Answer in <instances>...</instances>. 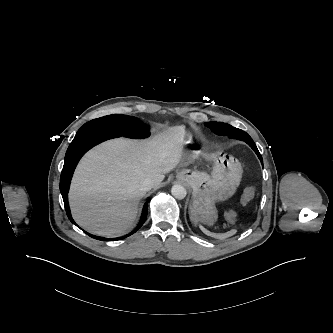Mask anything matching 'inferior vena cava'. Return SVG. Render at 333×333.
<instances>
[{
  "label": "inferior vena cava",
  "instance_id": "inferior-vena-cava-1",
  "mask_svg": "<svg viewBox=\"0 0 333 333\" xmlns=\"http://www.w3.org/2000/svg\"><path fill=\"white\" fill-rule=\"evenodd\" d=\"M152 187H153V182L149 178H145V179L141 180L138 184V188L142 192H147V191L151 190Z\"/></svg>",
  "mask_w": 333,
  "mask_h": 333
}]
</instances>
